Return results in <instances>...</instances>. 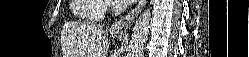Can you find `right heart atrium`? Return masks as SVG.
I'll return each instance as SVG.
<instances>
[{
  "label": "right heart atrium",
  "mask_w": 249,
  "mask_h": 57,
  "mask_svg": "<svg viewBox=\"0 0 249 57\" xmlns=\"http://www.w3.org/2000/svg\"><path fill=\"white\" fill-rule=\"evenodd\" d=\"M111 7V3H108L106 4V8H110Z\"/></svg>",
  "instance_id": "obj_1"
}]
</instances>
